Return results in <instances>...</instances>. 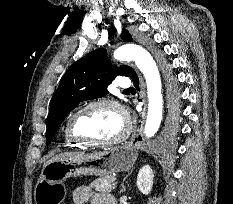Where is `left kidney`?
<instances>
[{
	"label": "left kidney",
	"instance_id": "1",
	"mask_svg": "<svg viewBox=\"0 0 233 204\" xmlns=\"http://www.w3.org/2000/svg\"><path fill=\"white\" fill-rule=\"evenodd\" d=\"M154 173L149 165L143 166L137 175V187L144 195H148L153 186Z\"/></svg>",
	"mask_w": 233,
	"mask_h": 204
}]
</instances>
